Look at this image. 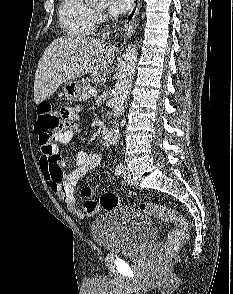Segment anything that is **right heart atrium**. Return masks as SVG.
<instances>
[{"label": "right heart atrium", "instance_id": "right-heart-atrium-1", "mask_svg": "<svg viewBox=\"0 0 233 294\" xmlns=\"http://www.w3.org/2000/svg\"><path fill=\"white\" fill-rule=\"evenodd\" d=\"M105 19H106V15L105 14H103V13H99L98 14V21H103Z\"/></svg>", "mask_w": 233, "mask_h": 294}]
</instances>
